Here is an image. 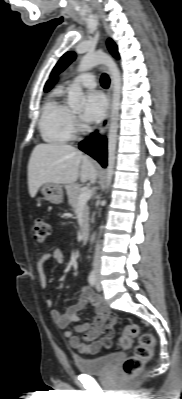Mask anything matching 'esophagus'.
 Listing matches in <instances>:
<instances>
[{"instance_id": "esophagus-1", "label": "esophagus", "mask_w": 182, "mask_h": 399, "mask_svg": "<svg viewBox=\"0 0 182 399\" xmlns=\"http://www.w3.org/2000/svg\"><path fill=\"white\" fill-rule=\"evenodd\" d=\"M111 91H112V80L110 82V86L107 91V99H108L107 110H106L103 120L101 121V123L98 127V131H97L98 135H104L109 126L110 109H111Z\"/></svg>"}]
</instances>
